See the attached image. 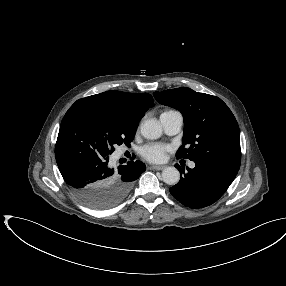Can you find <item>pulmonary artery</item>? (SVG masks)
<instances>
[{"label":"pulmonary artery","mask_w":286,"mask_h":286,"mask_svg":"<svg viewBox=\"0 0 286 286\" xmlns=\"http://www.w3.org/2000/svg\"><path fill=\"white\" fill-rule=\"evenodd\" d=\"M160 121L164 131L168 135H175L180 132L183 126V116L180 112L174 111L168 114H164L160 117ZM189 167L194 168L195 163L190 162Z\"/></svg>","instance_id":"e3ab8cb5"}]
</instances>
